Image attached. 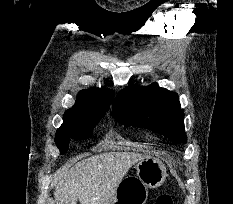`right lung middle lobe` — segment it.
<instances>
[{
    "instance_id": "1",
    "label": "right lung middle lobe",
    "mask_w": 233,
    "mask_h": 204,
    "mask_svg": "<svg viewBox=\"0 0 233 204\" xmlns=\"http://www.w3.org/2000/svg\"><path fill=\"white\" fill-rule=\"evenodd\" d=\"M102 117L103 116L100 115L87 119H82L57 130L55 143L59 148L61 154H64L68 150L69 138H74L78 140L89 138L92 135V130L94 126L97 125Z\"/></svg>"
}]
</instances>
